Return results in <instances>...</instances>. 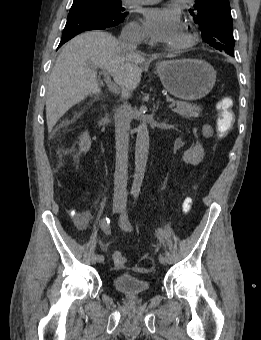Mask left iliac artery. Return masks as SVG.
<instances>
[{
    "instance_id": "obj_1",
    "label": "left iliac artery",
    "mask_w": 261,
    "mask_h": 340,
    "mask_svg": "<svg viewBox=\"0 0 261 340\" xmlns=\"http://www.w3.org/2000/svg\"><path fill=\"white\" fill-rule=\"evenodd\" d=\"M138 193H135L134 194V202H133V206L136 204L137 202V199H138ZM120 223L122 225V227L125 229V230H128V231H131L133 229V226L131 225V223L129 222V219H128V215L124 214L120 217ZM158 239H159V242L162 246V249H163V253H164V256L166 257L167 261L168 262H172L173 261V255L171 254V252L168 250L167 246H166V243L165 241L163 240V238L157 233L156 234Z\"/></svg>"
}]
</instances>
